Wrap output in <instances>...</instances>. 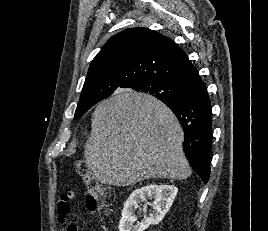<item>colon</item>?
<instances>
[{
    "mask_svg": "<svg viewBox=\"0 0 268 231\" xmlns=\"http://www.w3.org/2000/svg\"><path fill=\"white\" fill-rule=\"evenodd\" d=\"M75 169L77 174L83 179L86 186V206L88 210L96 215L106 213L114 199L112 189L103 184L101 181L95 179L91 175L85 162L77 161Z\"/></svg>",
    "mask_w": 268,
    "mask_h": 231,
    "instance_id": "colon-1",
    "label": "colon"
}]
</instances>
